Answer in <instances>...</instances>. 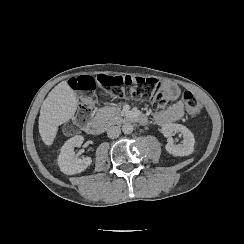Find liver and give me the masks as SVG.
<instances>
[{"mask_svg":"<svg viewBox=\"0 0 244 244\" xmlns=\"http://www.w3.org/2000/svg\"><path fill=\"white\" fill-rule=\"evenodd\" d=\"M78 98L67 81L55 86L40 108L38 129L42 142L51 147L57 137L59 126L70 120L77 111Z\"/></svg>","mask_w":244,"mask_h":244,"instance_id":"6515ba94","label":"liver"}]
</instances>
